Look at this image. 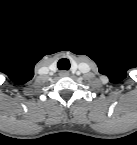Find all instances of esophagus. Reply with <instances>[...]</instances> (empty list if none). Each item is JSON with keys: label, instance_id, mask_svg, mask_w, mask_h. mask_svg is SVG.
Segmentation results:
<instances>
[{"label": "esophagus", "instance_id": "obj_1", "mask_svg": "<svg viewBox=\"0 0 137 145\" xmlns=\"http://www.w3.org/2000/svg\"><path fill=\"white\" fill-rule=\"evenodd\" d=\"M60 76H61V77L69 76V72H68V71H61V72H60Z\"/></svg>", "mask_w": 137, "mask_h": 145}]
</instances>
